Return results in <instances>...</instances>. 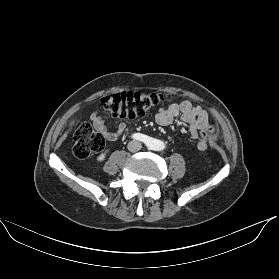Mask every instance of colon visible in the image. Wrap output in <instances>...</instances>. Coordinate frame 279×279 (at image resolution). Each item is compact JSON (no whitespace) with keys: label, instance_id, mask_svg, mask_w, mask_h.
I'll use <instances>...</instances> for the list:
<instances>
[{"label":"colon","instance_id":"5ec220e1","mask_svg":"<svg viewBox=\"0 0 279 279\" xmlns=\"http://www.w3.org/2000/svg\"><path fill=\"white\" fill-rule=\"evenodd\" d=\"M167 100H169L168 95L158 92H118L102 98V103L114 117L134 119L145 115ZM214 131L215 128L209 126L204 133V138H210ZM73 140V153L79 159L100 152L105 145L102 135L88 122H82L75 128Z\"/></svg>","mask_w":279,"mask_h":279}]
</instances>
